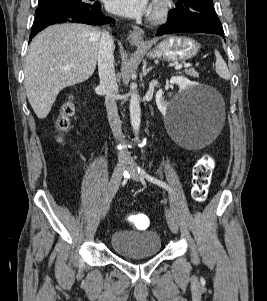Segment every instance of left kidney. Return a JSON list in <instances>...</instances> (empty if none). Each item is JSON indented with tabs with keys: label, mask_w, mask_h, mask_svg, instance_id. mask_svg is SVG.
Masks as SVG:
<instances>
[{
	"label": "left kidney",
	"mask_w": 267,
	"mask_h": 301,
	"mask_svg": "<svg viewBox=\"0 0 267 301\" xmlns=\"http://www.w3.org/2000/svg\"><path fill=\"white\" fill-rule=\"evenodd\" d=\"M170 84H177L180 87V91L183 92L192 87H198V84L193 83L182 76H175L170 79ZM156 103L161 112H166L168 102L163 98L162 89L156 93Z\"/></svg>",
	"instance_id": "obj_1"
}]
</instances>
